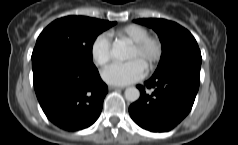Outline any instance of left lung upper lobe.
Wrapping results in <instances>:
<instances>
[{
	"label": "left lung upper lobe",
	"instance_id": "1",
	"mask_svg": "<svg viewBox=\"0 0 238 145\" xmlns=\"http://www.w3.org/2000/svg\"><path fill=\"white\" fill-rule=\"evenodd\" d=\"M134 22L152 28L162 43L161 59L154 74L186 64H201L202 57L198 44L184 27L165 19H136Z\"/></svg>",
	"mask_w": 238,
	"mask_h": 145
}]
</instances>
